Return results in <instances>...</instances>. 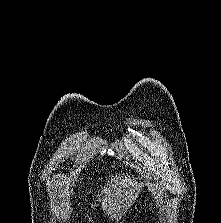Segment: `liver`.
Listing matches in <instances>:
<instances>
[{
    "label": "liver",
    "instance_id": "6515ba94",
    "mask_svg": "<svg viewBox=\"0 0 221 223\" xmlns=\"http://www.w3.org/2000/svg\"><path fill=\"white\" fill-rule=\"evenodd\" d=\"M131 186V187H130ZM140 191V184L132 182L124 174L116 176L109 182V187L104 188L101 192L104 197L97 195L98 201L103 204V210H108L112 219L122 216L135 201Z\"/></svg>",
    "mask_w": 221,
    "mask_h": 223
}]
</instances>
